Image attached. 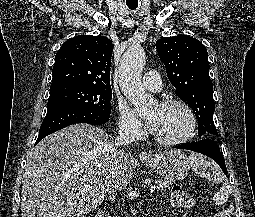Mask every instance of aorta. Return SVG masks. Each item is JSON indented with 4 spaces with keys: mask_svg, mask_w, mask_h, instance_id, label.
Segmentation results:
<instances>
[{
    "mask_svg": "<svg viewBox=\"0 0 255 217\" xmlns=\"http://www.w3.org/2000/svg\"><path fill=\"white\" fill-rule=\"evenodd\" d=\"M145 61L144 49L140 45H134L127 49L119 63L121 90L133 104L139 116L146 115L156 104L155 99L145 93L142 84V70Z\"/></svg>",
    "mask_w": 255,
    "mask_h": 217,
    "instance_id": "762f6f07",
    "label": "aorta"
}]
</instances>
